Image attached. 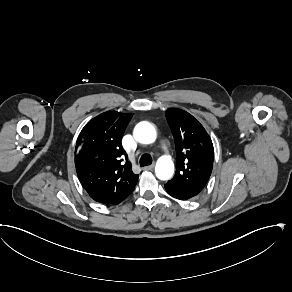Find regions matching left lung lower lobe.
I'll return each mask as SVG.
<instances>
[{"instance_id": "0a47b994", "label": "left lung lower lobe", "mask_w": 292, "mask_h": 292, "mask_svg": "<svg viewBox=\"0 0 292 292\" xmlns=\"http://www.w3.org/2000/svg\"><path fill=\"white\" fill-rule=\"evenodd\" d=\"M165 189L171 196L180 200H188L199 194L191 190L182 189L169 183L165 184Z\"/></svg>"}]
</instances>
